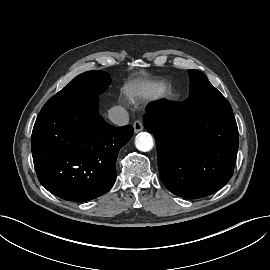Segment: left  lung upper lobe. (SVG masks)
<instances>
[{
  "label": "left lung upper lobe",
  "instance_id": "1",
  "mask_svg": "<svg viewBox=\"0 0 270 270\" xmlns=\"http://www.w3.org/2000/svg\"><path fill=\"white\" fill-rule=\"evenodd\" d=\"M190 94L194 95L197 109L204 114L233 112L226 98L209 82L200 71L188 70Z\"/></svg>",
  "mask_w": 270,
  "mask_h": 270
}]
</instances>
